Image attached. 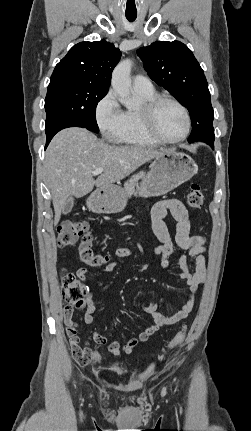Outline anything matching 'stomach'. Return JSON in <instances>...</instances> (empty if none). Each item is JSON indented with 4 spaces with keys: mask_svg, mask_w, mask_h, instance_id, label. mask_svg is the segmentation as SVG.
I'll return each mask as SVG.
<instances>
[{
    "mask_svg": "<svg viewBox=\"0 0 251 431\" xmlns=\"http://www.w3.org/2000/svg\"><path fill=\"white\" fill-rule=\"evenodd\" d=\"M194 160L187 154L170 149L158 156L150 165V171L141 178L136 194L141 197L164 195L197 173ZM124 190L117 185L98 189L87 200L88 208L95 213L121 212L126 206Z\"/></svg>",
    "mask_w": 251,
    "mask_h": 431,
    "instance_id": "0dacf381",
    "label": "stomach"
}]
</instances>
